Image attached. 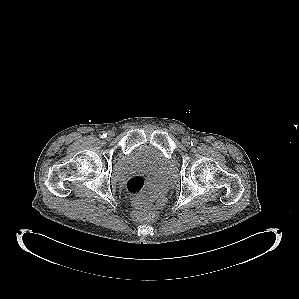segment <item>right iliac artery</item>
I'll return each mask as SVG.
<instances>
[{"label":"right iliac artery","instance_id":"1","mask_svg":"<svg viewBox=\"0 0 299 299\" xmlns=\"http://www.w3.org/2000/svg\"><path fill=\"white\" fill-rule=\"evenodd\" d=\"M106 136H107L106 133H102V134H101V138H105Z\"/></svg>","mask_w":299,"mask_h":299}]
</instances>
